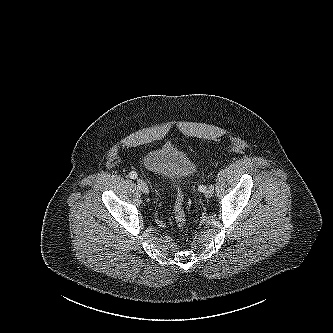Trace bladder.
Listing matches in <instances>:
<instances>
[{
  "instance_id": "1",
  "label": "bladder",
  "mask_w": 333,
  "mask_h": 333,
  "mask_svg": "<svg viewBox=\"0 0 333 333\" xmlns=\"http://www.w3.org/2000/svg\"><path fill=\"white\" fill-rule=\"evenodd\" d=\"M143 166L153 174L178 183L185 182L196 170L194 161L174 146H163L148 152L143 158Z\"/></svg>"
}]
</instances>
